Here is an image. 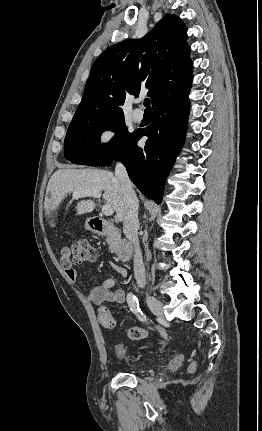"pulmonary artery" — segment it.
Returning <instances> with one entry per match:
<instances>
[{
	"mask_svg": "<svg viewBox=\"0 0 262 431\" xmlns=\"http://www.w3.org/2000/svg\"><path fill=\"white\" fill-rule=\"evenodd\" d=\"M132 116H133V119L136 121V122H140V121H142L143 120V118H144V112H143V110H141V109H135L134 111H133V114H132Z\"/></svg>",
	"mask_w": 262,
	"mask_h": 431,
	"instance_id": "1",
	"label": "pulmonary artery"
}]
</instances>
